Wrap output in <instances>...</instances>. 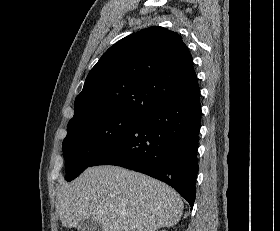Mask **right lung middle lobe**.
<instances>
[{
    "mask_svg": "<svg viewBox=\"0 0 280 231\" xmlns=\"http://www.w3.org/2000/svg\"><path fill=\"white\" fill-rule=\"evenodd\" d=\"M141 120V117L116 115L99 118H76L68 123L62 144L66 177L71 181L118 142Z\"/></svg>",
    "mask_w": 280,
    "mask_h": 231,
    "instance_id": "obj_1",
    "label": "right lung middle lobe"
}]
</instances>
